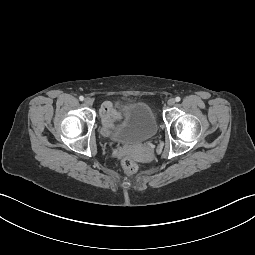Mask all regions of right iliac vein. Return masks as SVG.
Here are the masks:
<instances>
[{
    "mask_svg": "<svg viewBox=\"0 0 255 255\" xmlns=\"http://www.w3.org/2000/svg\"><path fill=\"white\" fill-rule=\"evenodd\" d=\"M84 103L87 105V106H92L93 105V100L89 97H87L85 100H84Z\"/></svg>",
    "mask_w": 255,
    "mask_h": 255,
    "instance_id": "right-iliac-vein-1",
    "label": "right iliac vein"
}]
</instances>
